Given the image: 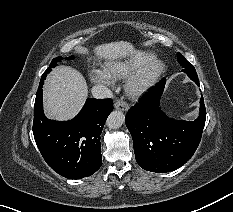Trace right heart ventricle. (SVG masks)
<instances>
[{
	"mask_svg": "<svg viewBox=\"0 0 233 212\" xmlns=\"http://www.w3.org/2000/svg\"><path fill=\"white\" fill-rule=\"evenodd\" d=\"M153 58V53L138 50L132 53L125 60L108 63L105 71L110 77L113 78L125 77Z\"/></svg>",
	"mask_w": 233,
	"mask_h": 212,
	"instance_id": "e07e8e85",
	"label": "right heart ventricle"
}]
</instances>
